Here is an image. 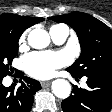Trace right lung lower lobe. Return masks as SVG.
I'll return each instance as SVG.
<instances>
[{"mask_svg": "<svg viewBox=\"0 0 112 112\" xmlns=\"http://www.w3.org/2000/svg\"><path fill=\"white\" fill-rule=\"evenodd\" d=\"M0 78V112H30L34 94L41 89L40 83L34 79L23 77L21 86L4 87Z\"/></svg>", "mask_w": 112, "mask_h": 112, "instance_id": "1", "label": "right lung lower lobe"}]
</instances>
